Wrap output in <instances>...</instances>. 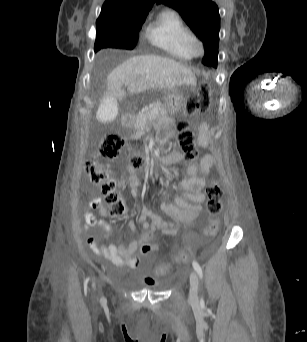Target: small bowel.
<instances>
[{"mask_svg": "<svg viewBox=\"0 0 307 342\" xmlns=\"http://www.w3.org/2000/svg\"><path fill=\"white\" fill-rule=\"evenodd\" d=\"M210 142V130L206 122H201L198 127V144L206 148ZM170 163L175 164L183 160L181 152L174 150L169 155ZM215 162L212 154L204 155L199 163L191 162L187 167V177L178 181L177 185L181 189V195L175 198L174 203H161L163 214L175 218L179 223L187 224L197 218L203 208L205 194L203 188L206 185L210 170ZM128 184L133 195L137 193L139 180L134 169H127ZM164 196L166 194L164 193ZM101 210L104 212L101 199L99 197L92 199L84 209L85 233L87 243L94 253L104 256L113 264L119 267L128 266L134 268L138 265V259L131 255L138 249L140 243L132 241L126 246L117 247L113 244H97L92 236L87 232L88 227H99L107 235L111 232L110 225L104 220L97 219L93 211ZM138 222L142 225L144 233L146 229H162V232H178V226L171 222H166L158 215L154 214L148 208L143 207ZM128 225L132 232H136L135 223L130 220Z\"/></svg>", "mask_w": 307, "mask_h": 342, "instance_id": "c3829d8e", "label": "small bowel"}]
</instances>
